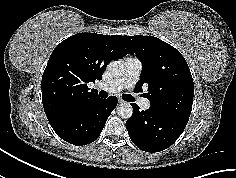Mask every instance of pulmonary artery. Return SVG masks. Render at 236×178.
I'll return each mask as SVG.
<instances>
[{
	"label": "pulmonary artery",
	"instance_id": "pulmonary-artery-1",
	"mask_svg": "<svg viewBox=\"0 0 236 178\" xmlns=\"http://www.w3.org/2000/svg\"><path fill=\"white\" fill-rule=\"evenodd\" d=\"M142 71V63L139 59L130 57L124 62V74L122 77L104 83L100 88L107 93H116L125 88L132 89L138 81ZM138 104L144 110L150 108V101L146 98H140Z\"/></svg>",
	"mask_w": 236,
	"mask_h": 178
}]
</instances>
